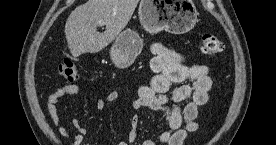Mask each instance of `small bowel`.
<instances>
[{
	"mask_svg": "<svg viewBox=\"0 0 276 145\" xmlns=\"http://www.w3.org/2000/svg\"><path fill=\"white\" fill-rule=\"evenodd\" d=\"M151 53L153 56L150 68L154 76L148 85L139 87L132 106L134 109L148 108L163 115L167 130L156 139L145 140L142 145H183L188 134L197 131L199 107L208 101L212 88L209 68L204 64H185L182 54L170 45L154 43ZM78 92L77 85H65L50 94L45 101V108L52 124L62 136L72 139V145H81L88 129L78 118H73L72 125L76 133L70 132L59 115L57 104L61 99ZM119 97L120 93L112 90L105 100L97 101V108L103 110L107 103L116 102ZM139 123L140 118L135 114L130 120L126 138L118 145H135Z\"/></svg>",
	"mask_w": 276,
	"mask_h": 145,
	"instance_id": "obj_1",
	"label": "small bowel"
}]
</instances>
